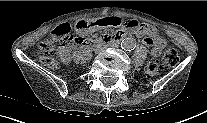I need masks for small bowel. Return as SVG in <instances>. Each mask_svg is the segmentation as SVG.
<instances>
[{
  "label": "small bowel",
  "mask_w": 207,
  "mask_h": 123,
  "mask_svg": "<svg viewBox=\"0 0 207 123\" xmlns=\"http://www.w3.org/2000/svg\"><path fill=\"white\" fill-rule=\"evenodd\" d=\"M122 24L123 19L121 17H111L100 18L94 23H87L85 20H78L77 28L81 32H87L94 26L101 28H116L120 27ZM127 32H132L137 37H143L144 44L151 46V55L153 57H158L165 47V41L157 36L156 29L149 24H141L132 19L128 20L125 23V29L120 30L115 36H124Z\"/></svg>",
  "instance_id": "c3829d8e"
}]
</instances>
